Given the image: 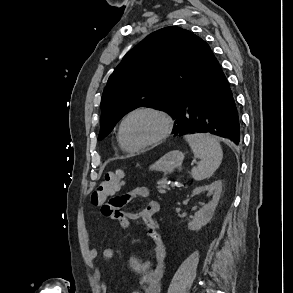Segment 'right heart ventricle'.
Wrapping results in <instances>:
<instances>
[{"mask_svg": "<svg viewBox=\"0 0 293 293\" xmlns=\"http://www.w3.org/2000/svg\"><path fill=\"white\" fill-rule=\"evenodd\" d=\"M118 142H119L121 148H123L124 150L128 151V150L122 145V143H121V141H120V138H119V134H118Z\"/></svg>", "mask_w": 293, "mask_h": 293, "instance_id": "right-heart-ventricle-1", "label": "right heart ventricle"}]
</instances>
